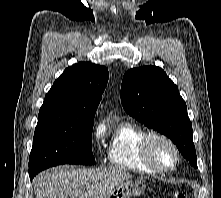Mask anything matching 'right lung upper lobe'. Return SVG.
Instances as JSON below:
<instances>
[{
  "label": "right lung upper lobe",
  "mask_w": 221,
  "mask_h": 198,
  "mask_svg": "<svg viewBox=\"0 0 221 198\" xmlns=\"http://www.w3.org/2000/svg\"><path fill=\"white\" fill-rule=\"evenodd\" d=\"M108 78L106 67L89 62L66 68L46 94L36 128L81 130L93 126Z\"/></svg>",
  "instance_id": "right-lung-upper-lobe-1"
}]
</instances>
